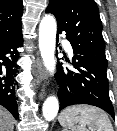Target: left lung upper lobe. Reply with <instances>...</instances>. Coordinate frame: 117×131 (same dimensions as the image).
I'll return each instance as SVG.
<instances>
[{
	"label": "left lung upper lobe",
	"mask_w": 117,
	"mask_h": 131,
	"mask_svg": "<svg viewBox=\"0 0 117 131\" xmlns=\"http://www.w3.org/2000/svg\"><path fill=\"white\" fill-rule=\"evenodd\" d=\"M46 12L52 13L70 41L91 62L106 72L102 22L94 0H50Z\"/></svg>",
	"instance_id": "left-lung-upper-lobe-1"
}]
</instances>
